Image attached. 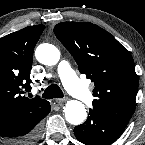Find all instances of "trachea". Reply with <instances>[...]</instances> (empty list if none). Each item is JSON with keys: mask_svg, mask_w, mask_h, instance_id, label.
<instances>
[{"mask_svg": "<svg viewBox=\"0 0 145 145\" xmlns=\"http://www.w3.org/2000/svg\"><path fill=\"white\" fill-rule=\"evenodd\" d=\"M64 94L60 87L57 84H51L47 87L42 94V98L51 99V98H63Z\"/></svg>", "mask_w": 145, "mask_h": 145, "instance_id": "3493384b", "label": "trachea"}]
</instances>
